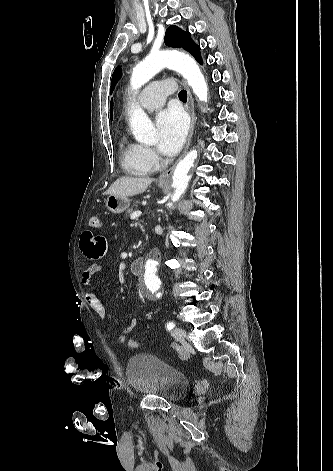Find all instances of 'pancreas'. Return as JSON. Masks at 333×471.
Listing matches in <instances>:
<instances>
[{
	"mask_svg": "<svg viewBox=\"0 0 333 471\" xmlns=\"http://www.w3.org/2000/svg\"><path fill=\"white\" fill-rule=\"evenodd\" d=\"M137 205H138V201H136V202L133 204V206L127 210V214H128V215H131L132 212H133V210H134V207H137Z\"/></svg>",
	"mask_w": 333,
	"mask_h": 471,
	"instance_id": "cf45deb5",
	"label": "pancreas"
}]
</instances>
